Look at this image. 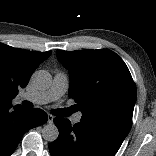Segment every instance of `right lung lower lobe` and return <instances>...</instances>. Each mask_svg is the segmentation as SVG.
Instances as JSON below:
<instances>
[{
  "label": "right lung lower lobe",
  "instance_id": "98d812e1",
  "mask_svg": "<svg viewBox=\"0 0 156 156\" xmlns=\"http://www.w3.org/2000/svg\"><path fill=\"white\" fill-rule=\"evenodd\" d=\"M11 107L0 108V156H10L26 131L48 120L41 109L27 110L16 106L15 111H11Z\"/></svg>",
  "mask_w": 156,
  "mask_h": 156
}]
</instances>
